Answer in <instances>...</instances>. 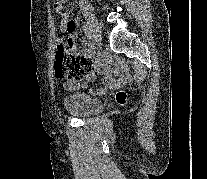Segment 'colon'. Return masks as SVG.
<instances>
[{
  "instance_id": "colon-1",
  "label": "colon",
  "mask_w": 207,
  "mask_h": 179,
  "mask_svg": "<svg viewBox=\"0 0 207 179\" xmlns=\"http://www.w3.org/2000/svg\"><path fill=\"white\" fill-rule=\"evenodd\" d=\"M55 11L62 18L67 17L71 11L69 0H55ZM71 49L69 40L59 39L56 52V76L61 81L77 84L91 74L92 67L87 56L76 55ZM116 101L123 105L126 101L125 92H118Z\"/></svg>"
}]
</instances>
